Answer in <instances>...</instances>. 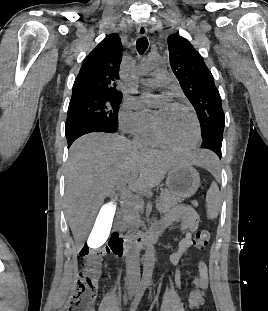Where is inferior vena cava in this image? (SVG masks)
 <instances>
[{"instance_id":"inferior-vena-cava-1","label":"inferior vena cava","mask_w":268,"mask_h":311,"mask_svg":"<svg viewBox=\"0 0 268 311\" xmlns=\"http://www.w3.org/2000/svg\"><path fill=\"white\" fill-rule=\"evenodd\" d=\"M126 265L127 268L130 269H134V273L131 276L130 274H128V284L129 285H138L139 282V277H140V271H139V265H140V261H139V252L135 251V250H130L126 256ZM132 282V283H131Z\"/></svg>"}]
</instances>
